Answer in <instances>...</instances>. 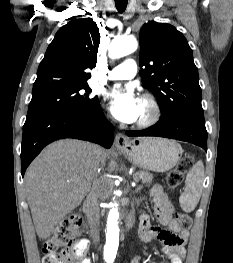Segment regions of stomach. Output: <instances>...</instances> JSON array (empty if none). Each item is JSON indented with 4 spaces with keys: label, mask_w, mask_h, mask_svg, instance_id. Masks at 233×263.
Instances as JSON below:
<instances>
[{
    "label": "stomach",
    "mask_w": 233,
    "mask_h": 263,
    "mask_svg": "<svg viewBox=\"0 0 233 263\" xmlns=\"http://www.w3.org/2000/svg\"><path fill=\"white\" fill-rule=\"evenodd\" d=\"M119 151L133 164L154 172L172 169L183 153L177 142L163 138L133 139Z\"/></svg>",
    "instance_id": "obj_1"
}]
</instances>
